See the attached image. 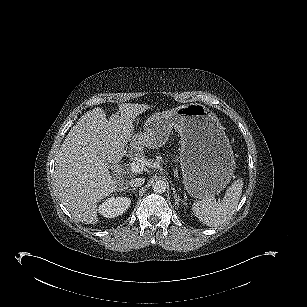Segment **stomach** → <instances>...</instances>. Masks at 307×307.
Listing matches in <instances>:
<instances>
[{
    "label": "stomach",
    "instance_id": "1",
    "mask_svg": "<svg viewBox=\"0 0 307 307\" xmlns=\"http://www.w3.org/2000/svg\"><path fill=\"white\" fill-rule=\"evenodd\" d=\"M172 129L181 137L179 162L187 192L196 198L220 193L231 179L235 160L216 115L200 103L155 112L140 139L147 147H159Z\"/></svg>",
    "mask_w": 307,
    "mask_h": 307
}]
</instances>
